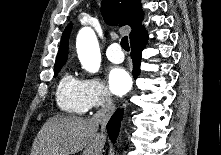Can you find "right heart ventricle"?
I'll return each instance as SVG.
<instances>
[{
	"mask_svg": "<svg viewBox=\"0 0 221 155\" xmlns=\"http://www.w3.org/2000/svg\"><path fill=\"white\" fill-rule=\"evenodd\" d=\"M56 102L58 107L70 114H84L89 110L84 95L83 80L66 72L61 77L57 90Z\"/></svg>",
	"mask_w": 221,
	"mask_h": 155,
	"instance_id": "1",
	"label": "right heart ventricle"
}]
</instances>
